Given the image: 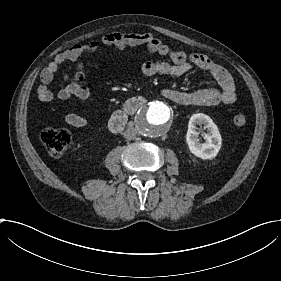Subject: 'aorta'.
I'll list each match as a JSON object with an SVG mask.
<instances>
[{"label": "aorta", "mask_w": 281, "mask_h": 281, "mask_svg": "<svg viewBox=\"0 0 281 281\" xmlns=\"http://www.w3.org/2000/svg\"><path fill=\"white\" fill-rule=\"evenodd\" d=\"M135 118L144 136L158 137L169 130L171 111L163 102L155 101L143 106Z\"/></svg>", "instance_id": "762f6f07"}]
</instances>
